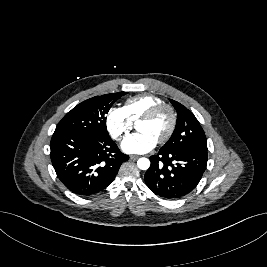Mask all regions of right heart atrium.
<instances>
[{
  "mask_svg": "<svg viewBox=\"0 0 267 267\" xmlns=\"http://www.w3.org/2000/svg\"><path fill=\"white\" fill-rule=\"evenodd\" d=\"M105 121L109 134L115 140L122 139L133 128L132 120L122 107H111Z\"/></svg>",
  "mask_w": 267,
  "mask_h": 267,
  "instance_id": "right-heart-atrium-1",
  "label": "right heart atrium"
}]
</instances>
